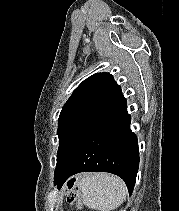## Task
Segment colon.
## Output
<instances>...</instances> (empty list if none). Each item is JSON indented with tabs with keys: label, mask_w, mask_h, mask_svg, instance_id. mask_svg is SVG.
I'll list each match as a JSON object with an SVG mask.
<instances>
[{
	"label": "colon",
	"mask_w": 179,
	"mask_h": 211,
	"mask_svg": "<svg viewBox=\"0 0 179 211\" xmlns=\"http://www.w3.org/2000/svg\"><path fill=\"white\" fill-rule=\"evenodd\" d=\"M67 200L69 203H75L77 206H81L80 189L76 179H70L68 182Z\"/></svg>",
	"instance_id": "1"
}]
</instances>
